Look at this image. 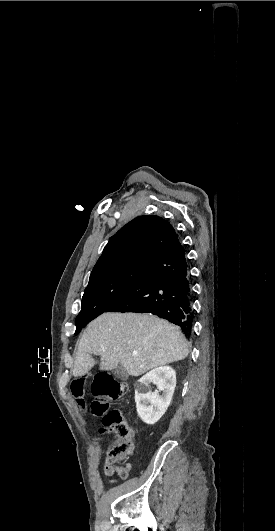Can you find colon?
I'll use <instances>...</instances> for the list:
<instances>
[{"instance_id": "colon-1", "label": "colon", "mask_w": 275, "mask_h": 531, "mask_svg": "<svg viewBox=\"0 0 275 531\" xmlns=\"http://www.w3.org/2000/svg\"><path fill=\"white\" fill-rule=\"evenodd\" d=\"M89 388L94 398L90 404L91 413L101 418L103 432L113 434L115 437L109 450V469L118 471L121 478L126 479L131 467L123 461L128 457L132 447L133 427L129 418L119 409L110 406L129 390V385L126 381L113 377L107 370L95 373L93 380L89 374H80L77 378L68 379V394L72 395L74 402L83 401V396L88 395ZM77 418L85 421L88 413L80 410Z\"/></svg>"}]
</instances>
